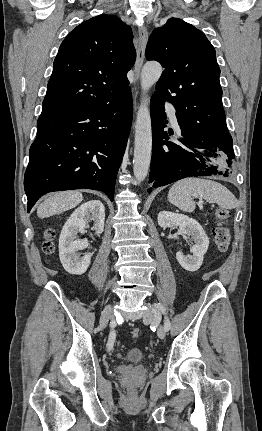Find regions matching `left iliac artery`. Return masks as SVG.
<instances>
[{
  "label": "left iliac artery",
  "mask_w": 262,
  "mask_h": 431,
  "mask_svg": "<svg viewBox=\"0 0 262 431\" xmlns=\"http://www.w3.org/2000/svg\"><path fill=\"white\" fill-rule=\"evenodd\" d=\"M154 311L156 310H158V311H161L164 315H166V312H165V308L163 307V305H161L160 303H155L154 304ZM155 311V312H156ZM171 328V323H170V321H169V319H168V317L167 316H165V322H164V329L166 330V331H168L169 329Z\"/></svg>",
  "instance_id": "left-iliac-artery-1"
}]
</instances>
